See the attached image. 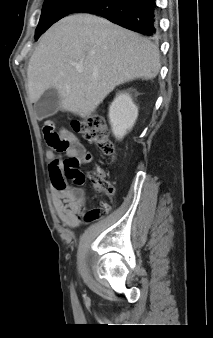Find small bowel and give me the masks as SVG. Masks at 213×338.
I'll use <instances>...</instances> for the list:
<instances>
[{"mask_svg":"<svg viewBox=\"0 0 213 338\" xmlns=\"http://www.w3.org/2000/svg\"><path fill=\"white\" fill-rule=\"evenodd\" d=\"M43 134L46 141L45 156L47 161H57L62 165L61 154L65 158L76 157L82 164L93 160V154L87 152L73 132L62 128L56 131L53 121H46L43 125ZM68 140L70 147L64 152L58 150L59 144ZM51 201L59 220L68 227H77L81 221H88L85 213L87 197L85 190L70 185L64 188H52Z\"/></svg>","mask_w":213,"mask_h":338,"instance_id":"obj_1","label":"small bowel"}]
</instances>
